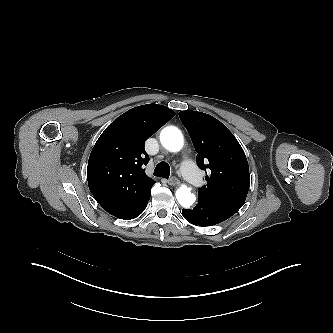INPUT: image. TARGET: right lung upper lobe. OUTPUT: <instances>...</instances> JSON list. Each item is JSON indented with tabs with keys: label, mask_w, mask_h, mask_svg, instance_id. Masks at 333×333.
Here are the masks:
<instances>
[{
	"label": "right lung upper lobe",
	"mask_w": 333,
	"mask_h": 333,
	"mask_svg": "<svg viewBox=\"0 0 333 333\" xmlns=\"http://www.w3.org/2000/svg\"><path fill=\"white\" fill-rule=\"evenodd\" d=\"M174 115L163 105L138 106L119 116L97 140L88 161V185L111 215L124 217L150 193L155 182L145 173L149 157L144 143Z\"/></svg>",
	"instance_id": "right-lung-upper-lobe-1"
}]
</instances>
